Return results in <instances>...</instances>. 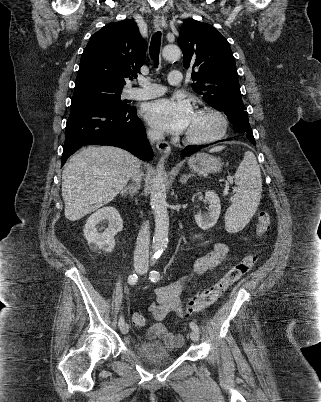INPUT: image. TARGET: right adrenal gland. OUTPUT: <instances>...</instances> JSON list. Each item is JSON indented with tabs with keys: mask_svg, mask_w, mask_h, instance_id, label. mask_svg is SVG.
<instances>
[{
	"mask_svg": "<svg viewBox=\"0 0 321 402\" xmlns=\"http://www.w3.org/2000/svg\"><path fill=\"white\" fill-rule=\"evenodd\" d=\"M139 188H140V185L138 183L130 184L129 186H127L121 190V194L129 193L131 196H134L135 194L138 193Z\"/></svg>",
	"mask_w": 321,
	"mask_h": 402,
	"instance_id": "right-adrenal-gland-1",
	"label": "right adrenal gland"
}]
</instances>
